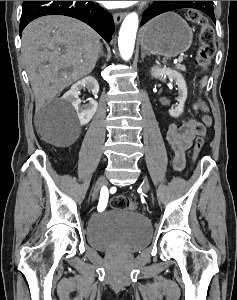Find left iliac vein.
I'll return each instance as SVG.
<instances>
[{"label": "left iliac vein", "instance_id": "left-iliac-vein-1", "mask_svg": "<svg viewBox=\"0 0 237 300\" xmlns=\"http://www.w3.org/2000/svg\"><path fill=\"white\" fill-rule=\"evenodd\" d=\"M142 188H143L145 191L150 192V187H149V182H148V180H145V181L143 182Z\"/></svg>", "mask_w": 237, "mask_h": 300}]
</instances>
